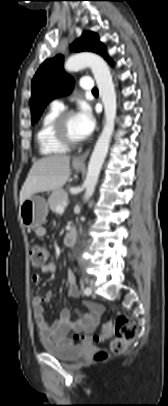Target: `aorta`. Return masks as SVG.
Wrapping results in <instances>:
<instances>
[{"label": "aorta", "mask_w": 168, "mask_h": 406, "mask_svg": "<svg viewBox=\"0 0 168 406\" xmlns=\"http://www.w3.org/2000/svg\"><path fill=\"white\" fill-rule=\"evenodd\" d=\"M90 67L96 80L99 95L105 109V124L96 142L85 180L86 192L84 199L88 200L94 193L99 174L109 149L111 136L116 118V92L110 69L104 59L93 53H79L69 57L64 65L68 72H75Z\"/></svg>", "instance_id": "obj_1"}]
</instances>
